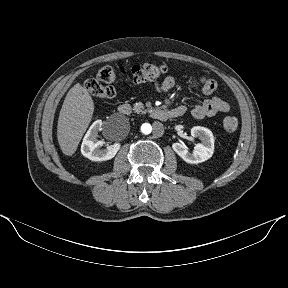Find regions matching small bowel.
<instances>
[{
    "label": "small bowel",
    "instance_id": "c3829d8e",
    "mask_svg": "<svg viewBox=\"0 0 288 288\" xmlns=\"http://www.w3.org/2000/svg\"><path fill=\"white\" fill-rule=\"evenodd\" d=\"M175 83V77L167 76L162 81L155 82L154 86L158 91L167 93L172 90V88L175 86ZM198 83L201 92L206 95L207 98L201 103L195 104L190 109V114L194 118L203 119L205 117H213L218 113H225L229 111L230 106L225 100L217 96H213V93L217 88V84L214 80L207 77H200ZM175 109L182 110L183 114L187 111V108L184 105H179L175 107Z\"/></svg>",
    "mask_w": 288,
    "mask_h": 288
}]
</instances>
